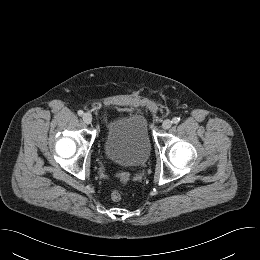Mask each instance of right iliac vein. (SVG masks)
I'll list each match as a JSON object with an SVG mask.
<instances>
[{"label":"right iliac vein","mask_w":260,"mask_h":260,"mask_svg":"<svg viewBox=\"0 0 260 260\" xmlns=\"http://www.w3.org/2000/svg\"><path fill=\"white\" fill-rule=\"evenodd\" d=\"M83 121L86 123V124H90L92 122V115L90 113H85L83 115Z\"/></svg>","instance_id":"right-iliac-vein-1"}]
</instances>
